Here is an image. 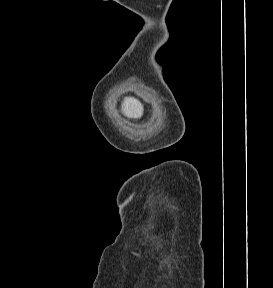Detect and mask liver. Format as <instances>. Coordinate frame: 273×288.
<instances>
[{"instance_id": "1", "label": "liver", "mask_w": 273, "mask_h": 288, "mask_svg": "<svg viewBox=\"0 0 273 288\" xmlns=\"http://www.w3.org/2000/svg\"><path fill=\"white\" fill-rule=\"evenodd\" d=\"M143 111L144 107L142 103L133 97H125L121 104V112L127 118H141L143 115Z\"/></svg>"}]
</instances>
